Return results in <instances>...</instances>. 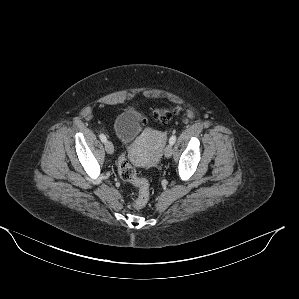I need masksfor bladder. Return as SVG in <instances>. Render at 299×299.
I'll list each match as a JSON object with an SVG mask.
<instances>
[{
	"instance_id": "bladder-1",
	"label": "bladder",
	"mask_w": 299,
	"mask_h": 299,
	"mask_svg": "<svg viewBox=\"0 0 299 299\" xmlns=\"http://www.w3.org/2000/svg\"><path fill=\"white\" fill-rule=\"evenodd\" d=\"M144 125L138 111L127 109L114 121V132L123 146L134 141L143 131Z\"/></svg>"
}]
</instances>
